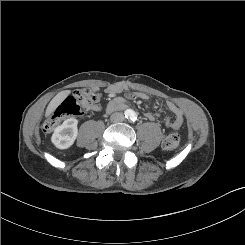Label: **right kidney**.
Listing matches in <instances>:
<instances>
[{"label": "right kidney", "instance_id": "1", "mask_svg": "<svg viewBox=\"0 0 245 245\" xmlns=\"http://www.w3.org/2000/svg\"><path fill=\"white\" fill-rule=\"evenodd\" d=\"M78 120L75 118L66 119L60 126L56 127L51 141L58 149L71 147L78 135Z\"/></svg>", "mask_w": 245, "mask_h": 245}]
</instances>
